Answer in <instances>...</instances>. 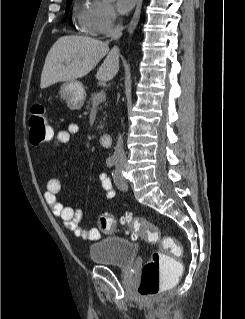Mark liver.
<instances>
[{
	"label": "liver",
	"instance_id": "liver-1",
	"mask_svg": "<svg viewBox=\"0 0 245 319\" xmlns=\"http://www.w3.org/2000/svg\"><path fill=\"white\" fill-rule=\"evenodd\" d=\"M96 78L109 81L119 71V53L107 42L80 35L60 37L51 47L41 74V89L58 82L73 81L87 75L105 57Z\"/></svg>",
	"mask_w": 245,
	"mask_h": 319
}]
</instances>
